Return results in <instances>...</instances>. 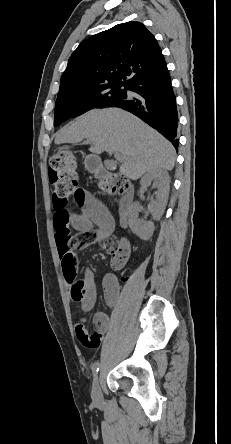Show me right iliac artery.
Masks as SVG:
<instances>
[{
	"instance_id": "1",
	"label": "right iliac artery",
	"mask_w": 231,
	"mask_h": 444,
	"mask_svg": "<svg viewBox=\"0 0 231 444\" xmlns=\"http://www.w3.org/2000/svg\"><path fill=\"white\" fill-rule=\"evenodd\" d=\"M98 371H99V361H97V362L93 365V368H92V372H93V377H94V378L97 377Z\"/></svg>"
}]
</instances>
